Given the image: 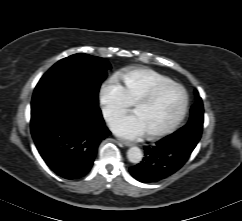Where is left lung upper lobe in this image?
Listing matches in <instances>:
<instances>
[{
  "mask_svg": "<svg viewBox=\"0 0 242 221\" xmlns=\"http://www.w3.org/2000/svg\"><path fill=\"white\" fill-rule=\"evenodd\" d=\"M195 94L197 96V99L195 104L191 108L190 119L188 123L180 130L182 131L194 130L201 133L203 128V103L201 98L198 96L197 91H195Z\"/></svg>",
  "mask_w": 242,
  "mask_h": 221,
  "instance_id": "5c2ea615",
  "label": "left lung upper lobe"
}]
</instances>
